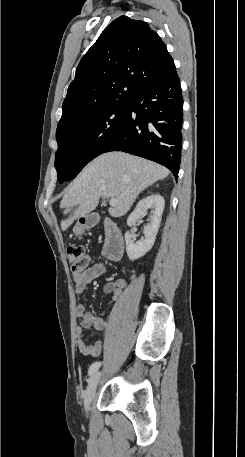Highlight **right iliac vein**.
<instances>
[{"mask_svg": "<svg viewBox=\"0 0 245 457\" xmlns=\"http://www.w3.org/2000/svg\"><path fill=\"white\" fill-rule=\"evenodd\" d=\"M99 378H100V372H95L92 374L91 378L89 379V383H88V386H87V389H86V392L84 395V407L87 412L89 411L90 405L95 396Z\"/></svg>", "mask_w": 245, "mask_h": 457, "instance_id": "right-iliac-vein-1", "label": "right iliac vein"}]
</instances>
